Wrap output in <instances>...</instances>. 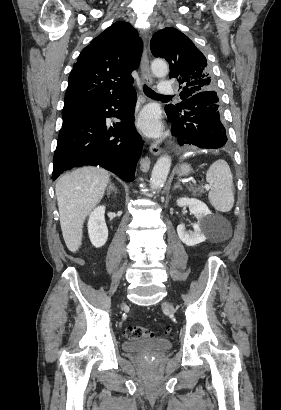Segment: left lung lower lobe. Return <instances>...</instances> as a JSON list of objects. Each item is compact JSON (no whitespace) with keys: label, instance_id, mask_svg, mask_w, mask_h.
<instances>
[{"label":"left lung lower lobe","instance_id":"obj_1","mask_svg":"<svg viewBox=\"0 0 281 410\" xmlns=\"http://www.w3.org/2000/svg\"><path fill=\"white\" fill-rule=\"evenodd\" d=\"M218 102L215 91H204L182 101L181 112H166L172 122V134L180 145L220 148L227 142Z\"/></svg>","mask_w":281,"mask_h":410}]
</instances>
